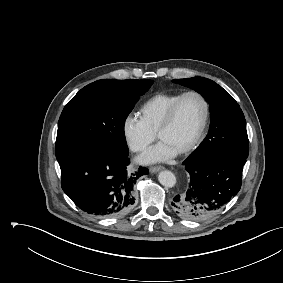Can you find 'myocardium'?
Here are the masks:
<instances>
[{
	"instance_id": "f54148a6",
	"label": "myocardium",
	"mask_w": 283,
	"mask_h": 283,
	"mask_svg": "<svg viewBox=\"0 0 283 283\" xmlns=\"http://www.w3.org/2000/svg\"><path fill=\"white\" fill-rule=\"evenodd\" d=\"M188 96L198 97L203 104L204 112H203L202 122H201V125L199 127V130H198L196 136L194 137V139L192 140V142L188 146H186L184 149H182L179 152V154L190 153L191 151L196 149L197 146L200 144V142L203 138V135H204V133L207 129V126H208V123H209V118H210V106H209V102H208L207 98L201 92L196 91V90H190V91H186V92L182 93L176 99V101L171 105V107L169 108V110H168V112L165 116L164 121L162 122L161 126L159 127V129L157 131V137L160 139L162 133L165 132L166 130H168L172 126L180 104Z\"/></svg>"
}]
</instances>
